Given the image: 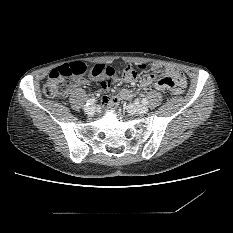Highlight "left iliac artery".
Returning a JSON list of instances; mask_svg holds the SVG:
<instances>
[{
    "instance_id": "obj_1",
    "label": "left iliac artery",
    "mask_w": 233,
    "mask_h": 233,
    "mask_svg": "<svg viewBox=\"0 0 233 233\" xmlns=\"http://www.w3.org/2000/svg\"><path fill=\"white\" fill-rule=\"evenodd\" d=\"M142 103L144 104V105H146L147 103H148V101H147V99H142Z\"/></svg>"
}]
</instances>
